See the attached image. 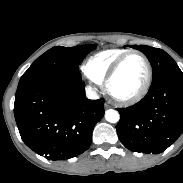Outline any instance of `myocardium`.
I'll use <instances>...</instances> for the list:
<instances>
[{
  "label": "myocardium",
  "mask_w": 183,
  "mask_h": 183,
  "mask_svg": "<svg viewBox=\"0 0 183 183\" xmlns=\"http://www.w3.org/2000/svg\"><path fill=\"white\" fill-rule=\"evenodd\" d=\"M138 55L144 62L145 64V68H146V77L144 80V83L142 85V87L140 88V90L128 97H119L116 96L115 94H113L110 91L109 85L111 80L113 79V77L115 76V74L118 72L119 68L121 67L122 63L131 55ZM152 79H153V72H152V67L150 64L149 59L147 58V56L142 53L139 50H128L127 52H125L124 54H122L109 68L106 76H105V87L107 89V91L112 95V97L118 101L119 103L123 104V105H131L134 103L139 102L140 100H142L147 93L150 90L151 84H152Z\"/></svg>",
  "instance_id": "obj_1"
}]
</instances>
